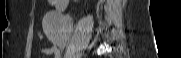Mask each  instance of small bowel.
<instances>
[{
	"label": "small bowel",
	"mask_w": 181,
	"mask_h": 58,
	"mask_svg": "<svg viewBox=\"0 0 181 58\" xmlns=\"http://www.w3.org/2000/svg\"><path fill=\"white\" fill-rule=\"evenodd\" d=\"M53 4H55V3L53 2ZM41 51L44 54H47V55L53 54L55 56V58H60V54H61L60 49L55 45L50 46L48 48H44Z\"/></svg>",
	"instance_id": "small-bowel-1"
}]
</instances>
